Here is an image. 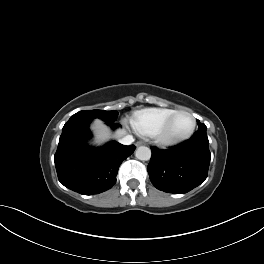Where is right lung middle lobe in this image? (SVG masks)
<instances>
[{
  "label": "right lung middle lobe",
  "instance_id": "dd1d6c3e",
  "mask_svg": "<svg viewBox=\"0 0 264 264\" xmlns=\"http://www.w3.org/2000/svg\"><path fill=\"white\" fill-rule=\"evenodd\" d=\"M117 111H105V110H83L74 114L71 118L83 117L88 119L100 118L105 122H115L117 119Z\"/></svg>",
  "mask_w": 264,
  "mask_h": 264
}]
</instances>
